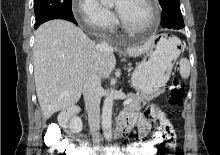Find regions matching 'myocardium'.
I'll list each match as a JSON object with an SVG mask.
<instances>
[{
	"label": "myocardium",
	"mask_w": 220,
	"mask_h": 155,
	"mask_svg": "<svg viewBox=\"0 0 220 155\" xmlns=\"http://www.w3.org/2000/svg\"><path fill=\"white\" fill-rule=\"evenodd\" d=\"M144 2L147 4L150 11V16L148 21L141 27H132L128 25L119 15L118 16L119 23L124 30L133 33H140L150 29L156 23L158 17V8H157L156 0H144Z\"/></svg>",
	"instance_id": "f54148a6"
}]
</instances>
